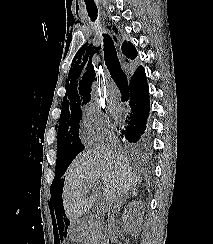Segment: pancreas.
I'll list each match as a JSON object with an SVG mask.
<instances>
[{
    "label": "pancreas",
    "mask_w": 213,
    "mask_h": 244,
    "mask_svg": "<svg viewBox=\"0 0 213 244\" xmlns=\"http://www.w3.org/2000/svg\"><path fill=\"white\" fill-rule=\"evenodd\" d=\"M85 235L87 244H97L100 239H102L103 226L100 224L99 220H90L85 226Z\"/></svg>",
    "instance_id": "obj_1"
}]
</instances>
